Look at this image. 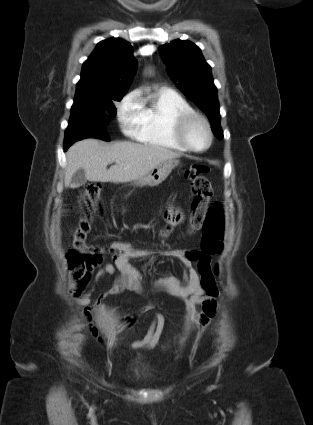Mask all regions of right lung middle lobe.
I'll use <instances>...</instances> for the list:
<instances>
[{
  "label": "right lung middle lobe",
  "mask_w": 313,
  "mask_h": 425,
  "mask_svg": "<svg viewBox=\"0 0 313 425\" xmlns=\"http://www.w3.org/2000/svg\"><path fill=\"white\" fill-rule=\"evenodd\" d=\"M124 94L113 93L100 97L75 99L71 108L69 125H74L79 118H91L102 124L109 122L116 115L113 102L120 101Z\"/></svg>",
  "instance_id": "dd1d6c3e"
}]
</instances>
